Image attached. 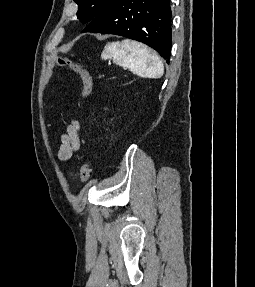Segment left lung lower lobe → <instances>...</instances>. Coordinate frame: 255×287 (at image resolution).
I'll list each match as a JSON object with an SVG mask.
<instances>
[{
  "label": "left lung lower lobe",
  "instance_id": "obj_1",
  "mask_svg": "<svg viewBox=\"0 0 255 287\" xmlns=\"http://www.w3.org/2000/svg\"><path fill=\"white\" fill-rule=\"evenodd\" d=\"M170 0H111L82 32L116 34L152 47L169 63Z\"/></svg>",
  "mask_w": 255,
  "mask_h": 287
}]
</instances>
